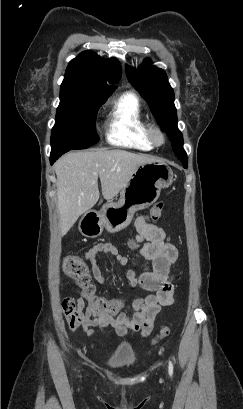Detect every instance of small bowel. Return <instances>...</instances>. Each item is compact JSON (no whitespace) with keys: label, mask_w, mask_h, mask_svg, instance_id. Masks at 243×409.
I'll list each match as a JSON object with an SVG mask.
<instances>
[{"label":"small bowel","mask_w":243,"mask_h":409,"mask_svg":"<svg viewBox=\"0 0 243 409\" xmlns=\"http://www.w3.org/2000/svg\"><path fill=\"white\" fill-rule=\"evenodd\" d=\"M136 241L142 247L136 256L151 262L152 269H145L139 274L132 268L127 269L126 276L132 287H140L149 292L143 298L132 300L133 312H106L90 306L85 307V300L79 291L76 292L78 309L81 311L82 327L87 335L92 336L91 327H98L109 332L112 328L118 336L129 333H140L142 337L151 334L154 322L162 307L174 303V284L171 279V265L175 263L178 251L170 242L166 231L147 221L145 216L136 219ZM111 255L119 264L125 265L127 257L111 243H101L90 248L84 257L91 263L94 278L101 284L107 282V277L99 266V256Z\"/></svg>","instance_id":"obj_1"}]
</instances>
